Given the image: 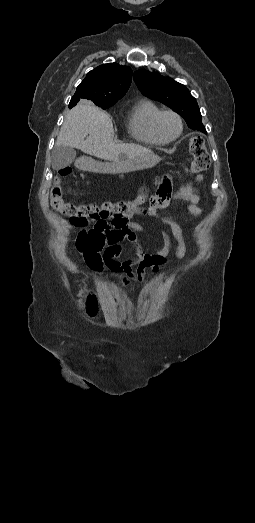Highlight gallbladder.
I'll use <instances>...</instances> for the list:
<instances>
[{
    "label": "gallbladder",
    "instance_id": "obj_1",
    "mask_svg": "<svg viewBox=\"0 0 255 523\" xmlns=\"http://www.w3.org/2000/svg\"><path fill=\"white\" fill-rule=\"evenodd\" d=\"M51 158L53 170H62L74 162L76 152L70 146H55L51 152Z\"/></svg>",
    "mask_w": 255,
    "mask_h": 523
}]
</instances>
